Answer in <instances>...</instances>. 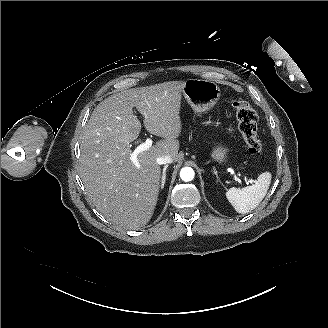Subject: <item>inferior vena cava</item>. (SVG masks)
I'll list each match as a JSON object with an SVG mask.
<instances>
[{
  "label": "inferior vena cava",
  "mask_w": 328,
  "mask_h": 328,
  "mask_svg": "<svg viewBox=\"0 0 328 328\" xmlns=\"http://www.w3.org/2000/svg\"><path fill=\"white\" fill-rule=\"evenodd\" d=\"M156 162H157V164L161 165V164L172 163L173 160L169 155H163V156L157 157Z\"/></svg>",
  "instance_id": "1"
}]
</instances>
